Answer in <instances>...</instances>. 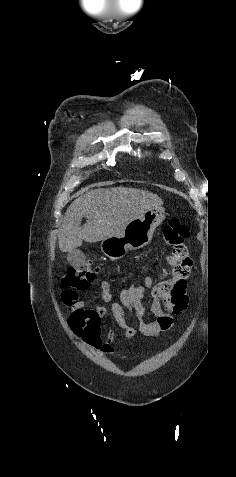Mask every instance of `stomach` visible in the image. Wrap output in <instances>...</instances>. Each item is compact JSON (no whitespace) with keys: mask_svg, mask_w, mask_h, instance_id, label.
I'll return each instance as SVG.
<instances>
[{"mask_svg":"<svg viewBox=\"0 0 236 477\" xmlns=\"http://www.w3.org/2000/svg\"><path fill=\"white\" fill-rule=\"evenodd\" d=\"M164 218L165 210L162 207L146 211L132 220L120 235L102 240V252L111 260H117L124 257L129 250L147 246L153 238L155 228Z\"/></svg>","mask_w":236,"mask_h":477,"instance_id":"stomach-1","label":"stomach"}]
</instances>
